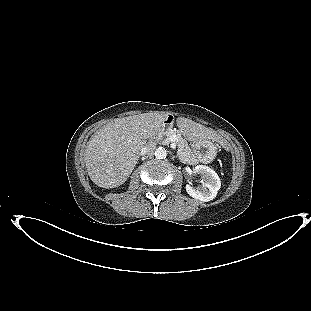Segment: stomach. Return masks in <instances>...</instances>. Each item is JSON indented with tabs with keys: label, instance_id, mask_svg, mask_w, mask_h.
<instances>
[{
	"label": "stomach",
	"instance_id": "0dacf381",
	"mask_svg": "<svg viewBox=\"0 0 311 311\" xmlns=\"http://www.w3.org/2000/svg\"><path fill=\"white\" fill-rule=\"evenodd\" d=\"M183 135L192 141L195 155L203 162H211L217 154L215 145L206 138H197L189 131L180 130Z\"/></svg>",
	"mask_w": 311,
	"mask_h": 311
}]
</instances>
